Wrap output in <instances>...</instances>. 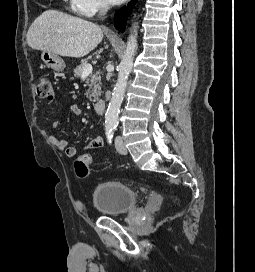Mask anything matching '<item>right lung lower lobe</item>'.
<instances>
[{
	"instance_id": "right-lung-lower-lobe-1",
	"label": "right lung lower lobe",
	"mask_w": 255,
	"mask_h": 272,
	"mask_svg": "<svg viewBox=\"0 0 255 272\" xmlns=\"http://www.w3.org/2000/svg\"><path fill=\"white\" fill-rule=\"evenodd\" d=\"M135 2L136 0H132V2L128 4V8L124 6L119 11L116 12L114 17V25L119 31L121 32L124 31L127 17L129 16L131 10L133 9Z\"/></svg>"
}]
</instances>
